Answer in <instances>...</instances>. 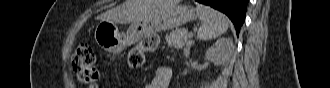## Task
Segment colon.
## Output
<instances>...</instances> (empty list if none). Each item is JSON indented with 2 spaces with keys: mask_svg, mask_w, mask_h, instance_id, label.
<instances>
[{
  "mask_svg": "<svg viewBox=\"0 0 330 88\" xmlns=\"http://www.w3.org/2000/svg\"><path fill=\"white\" fill-rule=\"evenodd\" d=\"M159 39L156 35L144 37L140 43L128 53V65L131 69H139L145 62V54L154 52ZM71 67L75 71L78 80L88 87H96L99 72L95 65V55L89 45H80L71 58Z\"/></svg>",
  "mask_w": 330,
  "mask_h": 88,
  "instance_id": "colon-1",
  "label": "colon"
}]
</instances>
